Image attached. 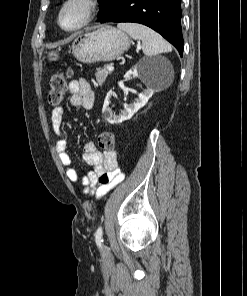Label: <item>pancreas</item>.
Masks as SVG:
<instances>
[{"label":"pancreas","instance_id":"obj_1","mask_svg":"<svg viewBox=\"0 0 247 296\" xmlns=\"http://www.w3.org/2000/svg\"><path fill=\"white\" fill-rule=\"evenodd\" d=\"M108 66H104L103 68H97L95 71V76H96V80L98 82L99 85H102L107 76L111 73L107 70Z\"/></svg>","mask_w":247,"mask_h":296}]
</instances>
